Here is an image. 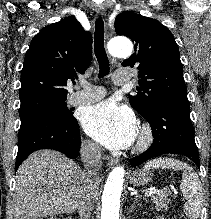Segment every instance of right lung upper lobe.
Instances as JSON below:
<instances>
[{
  "instance_id": "cb5924a9",
  "label": "right lung upper lobe",
  "mask_w": 211,
  "mask_h": 219,
  "mask_svg": "<svg viewBox=\"0 0 211 219\" xmlns=\"http://www.w3.org/2000/svg\"><path fill=\"white\" fill-rule=\"evenodd\" d=\"M92 59V36L75 17L44 27L31 41L21 71V103L67 98V81L84 73Z\"/></svg>"
}]
</instances>
